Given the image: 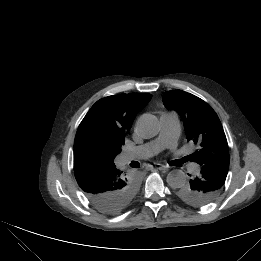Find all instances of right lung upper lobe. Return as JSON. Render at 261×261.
Segmentation results:
<instances>
[{
    "label": "right lung upper lobe",
    "mask_w": 261,
    "mask_h": 261,
    "mask_svg": "<svg viewBox=\"0 0 261 261\" xmlns=\"http://www.w3.org/2000/svg\"><path fill=\"white\" fill-rule=\"evenodd\" d=\"M150 94L129 93L98 100L80 123L74 141V162L91 161L88 143L105 147L125 143L137 113L150 101Z\"/></svg>",
    "instance_id": "right-lung-upper-lobe-1"
}]
</instances>
